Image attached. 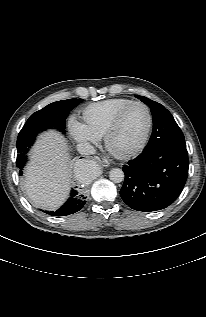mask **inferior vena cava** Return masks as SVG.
I'll use <instances>...</instances> for the list:
<instances>
[{
  "instance_id": "inferior-vena-cava-1",
  "label": "inferior vena cava",
  "mask_w": 206,
  "mask_h": 317,
  "mask_svg": "<svg viewBox=\"0 0 206 317\" xmlns=\"http://www.w3.org/2000/svg\"><path fill=\"white\" fill-rule=\"evenodd\" d=\"M77 151L82 154V155H92L95 154V149L94 147L88 143V142H83L79 143L77 145Z\"/></svg>"
}]
</instances>
